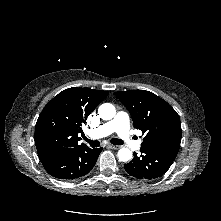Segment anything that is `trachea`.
I'll return each instance as SVG.
<instances>
[{
  "label": "trachea",
  "instance_id": "3493384b",
  "mask_svg": "<svg viewBox=\"0 0 221 221\" xmlns=\"http://www.w3.org/2000/svg\"><path fill=\"white\" fill-rule=\"evenodd\" d=\"M83 138L90 144V146L92 147H99L100 146V142L98 140H90L88 138H86L85 136H83ZM110 142L114 145H122L123 141L117 138H113L110 140Z\"/></svg>",
  "mask_w": 221,
  "mask_h": 221
}]
</instances>
